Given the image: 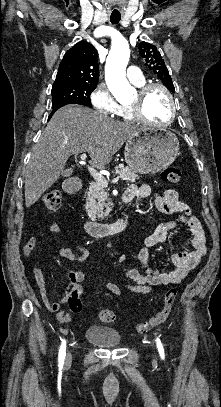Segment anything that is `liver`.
Wrapping results in <instances>:
<instances>
[{
	"label": "liver",
	"instance_id": "1",
	"mask_svg": "<svg viewBox=\"0 0 221 407\" xmlns=\"http://www.w3.org/2000/svg\"><path fill=\"white\" fill-rule=\"evenodd\" d=\"M140 129L79 105L60 108L33 147L26 167V207L37 202L59 179L70 156L87 152L97 167H104Z\"/></svg>",
	"mask_w": 221,
	"mask_h": 407
}]
</instances>
